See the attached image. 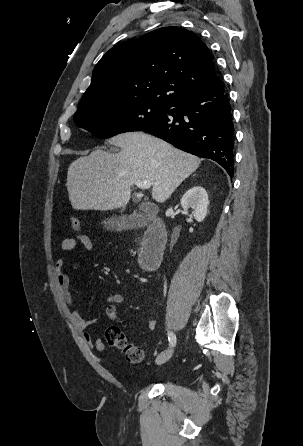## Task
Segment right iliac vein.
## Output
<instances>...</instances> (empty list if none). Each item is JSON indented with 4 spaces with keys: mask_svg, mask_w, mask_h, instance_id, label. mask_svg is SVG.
Here are the masks:
<instances>
[{
    "mask_svg": "<svg viewBox=\"0 0 303 446\" xmlns=\"http://www.w3.org/2000/svg\"><path fill=\"white\" fill-rule=\"evenodd\" d=\"M172 355H173V349H167L158 355V357L156 358V363L158 365H161L167 362Z\"/></svg>",
    "mask_w": 303,
    "mask_h": 446,
    "instance_id": "1",
    "label": "right iliac vein"
}]
</instances>
